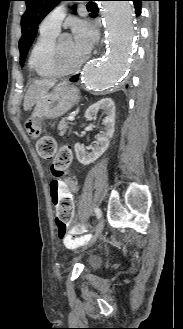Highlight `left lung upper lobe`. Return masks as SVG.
Returning a JSON list of instances; mask_svg holds the SVG:
<instances>
[{"mask_svg":"<svg viewBox=\"0 0 183 329\" xmlns=\"http://www.w3.org/2000/svg\"><path fill=\"white\" fill-rule=\"evenodd\" d=\"M27 9L21 18L22 37L19 41L20 64L23 66L26 55L37 33L39 23L63 0H23ZM75 10V7H73ZM92 16V14H90Z\"/></svg>","mask_w":183,"mask_h":329,"instance_id":"1","label":"left lung upper lobe"}]
</instances>
